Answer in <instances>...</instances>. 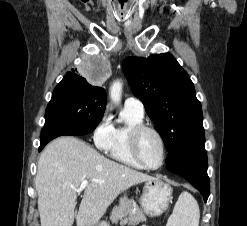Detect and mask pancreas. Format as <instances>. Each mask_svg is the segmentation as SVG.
Listing matches in <instances>:
<instances>
[{"label": "pancreas", "instance_id": "pancreas-1", "mask_svg": "<svg viewBox=\"0 0 247 226\" xmlns=\"http://www.w3.org/2000/svg\"><path fill=\"white\" fill-rule=\"evenodd\" d=\"M110 220L112 223H127L134 224L141 221H146L145 215L139 210L136 203L127 197H122L119 200V205L115 206L111 212Z\"/></svg>", "mask_w": 247, "mask_h": 226}]
</instances>
